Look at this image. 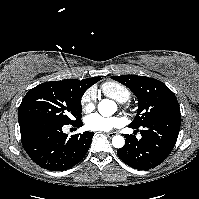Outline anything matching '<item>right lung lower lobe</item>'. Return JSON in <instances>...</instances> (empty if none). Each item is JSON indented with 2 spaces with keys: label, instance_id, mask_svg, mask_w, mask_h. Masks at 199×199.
Masks as SVG:
<instances>
[{
  "label": "right lung lower lobe",
  "instance_id": "obj_1",
  "mask_svg": "<svg viewBox=\"0 0 199 199\" xmlns=\"http://www.w3.org/2000/svg\"><path fill=\"white\" fill-rule=\"evenodd\" d=\"M22 145L30 158L42 168L63 171L76 165L87 153L93 132L75 134L68 138L60 124L46 120H24L19 122ZM80 127L79 120L72 123Z\"/></svg>",
  "mask_w": 199,
  "mask_h": 199
}]
</instances>
